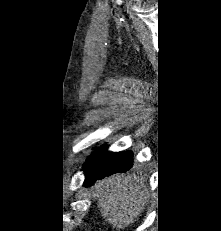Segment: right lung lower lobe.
<instances>
[{"mask_svg":"<svg viewBox=\"0 0 221 231\" xmlns=\"http://www.w3.org/2000/svg\"><path fill=\"white\" fill-rule=\"evenodd\" d=\"M132 158L133 154L130 151L117 153L107 152L103 146L98 148L84 165L85 186H90L106 176L128 171L133 166Z\"/></svg>","mask_w":221,"mask_h":231,"instance_id":"98d812e1","label":"right lung lower lobe"}]
</instances>
